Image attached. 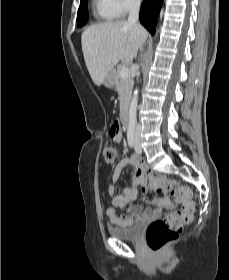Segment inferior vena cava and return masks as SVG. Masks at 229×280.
Instances as JSON below:
<instances>
[{"mask_svg":"<svg viewBox=\"0 0 229 280\" xmlns=\"http://www.w3.org/2000/svg\"><path fill=\"white\" fill-rule=\"evenodd\" d=\"M139 9H140V0H130L129 16H128L129 24H136L139 21ZM140 129H141L140 126L137 125V127L135 129L136 135H139Z\"/></svg>","mask_w":229,"mask_h":280,"instance_id":"602c4592","label":"inferior vena cava"}]
</instances>
